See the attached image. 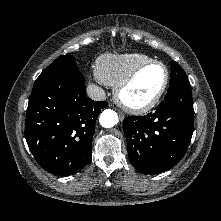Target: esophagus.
<instances>
[{
	"label": "esophagus",
	"instance_id": "obj_1",
	"mask_svg": "<svg viewBox=\"0 0 221 221\" xmlns=\"http://www.w3.org/2000/svg\"><path fill=\"white\" fill-rule=\"evenodd\" d=\"M119 117H120L121 120H123L124 119V114L119 113Z\"/></svg>",
	"mask_w": 221,
	"mask_h": 221
}]
</instances>
